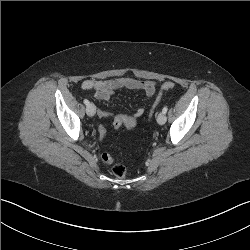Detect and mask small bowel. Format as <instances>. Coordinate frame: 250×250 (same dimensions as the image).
Here are the masks:
<instances>
[{"label":"small bowel","mask_w":250,"mask_h":250,"mask_svg":"<svg viewBox=\"0 0 250 250\" xmlns=\"http://www.w3.org/2000/svg\"><path fill=\"white\" fill-rule=\"evenodd\" d=\"M81 88L86 91H93L95 98L102 101H109L111 95L119 89H129L143 92L147 97H152L156 91V84L153 81L139 80L132 77H118L110 80H85ZM143 109H138L132 117H127L126 121L135 120L143 115ZM109 114L100 111V117H107Z\"/></svg>","instance_id":"obj_1"}]
</instances>
